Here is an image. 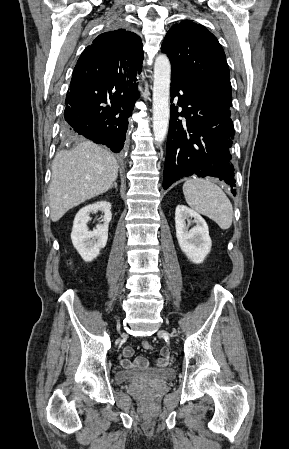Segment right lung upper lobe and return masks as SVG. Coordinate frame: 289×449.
Listing matches in <instances>:
<instances>
[{
  "label": "right lung upper lobe",
  "instance_id": "1",
  "mask_svg": "<svg viewBox=\"0 0 289 449\" xmlns=\"http://www.w3.org/2000/svg\"><path fill=\"white\" fill-rule=\"evenodd\" d=\"M143 49L138 35L125 29L100 34L86 47L74 68L77 80L120 81L142 70Z\"/></svg>",
  "mask_w": 289,
  "mask_h": 449
}]
</instances>
